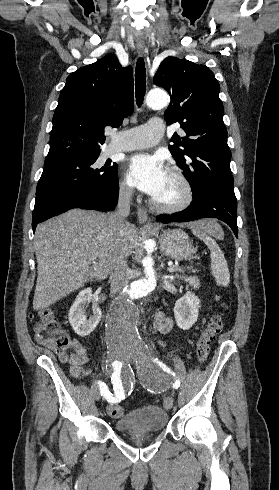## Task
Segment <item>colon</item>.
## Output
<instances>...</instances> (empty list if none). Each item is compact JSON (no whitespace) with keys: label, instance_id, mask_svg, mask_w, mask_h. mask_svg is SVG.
<instances>
[{"label":"colon","instance_id":"colon-1","mask_svg":"<svg viewBox=\"0 0 279 490\" xmlns=\"http://www.w3.org/2000/svg\"><path fill=\"white\" fill-rule=\"evenodd\" d=\"M35 333L38 342L51 349L55 353L65 354L73 347V338L62 329L55 317L54 312L43 309L36 316ZM224 317L222 314L214 315L202 330L196 342V357L199 362L206 361L210 344L218 333L222 330ZM107 413L112 418H120L123 415V408L117 404H110L107 407Z\"/></svg>","mask_w":279,"mask_h":490}]
</instances>
